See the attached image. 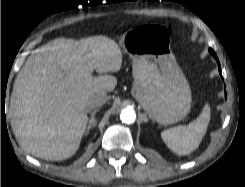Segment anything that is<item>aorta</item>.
Masks as SVG:
<instances>
[{"label":"aorta","instance_id":"aorta-1","mask_svg":"<svg viewBox=\"0 0 245 187\" xmlns=\"http://www.w3.org/2000/svg\"><path fill=\"white\" fill-rule=\"evenodd\" d=\"M120 119L126 124H132L135 122L136 114L132 108H125L121 111Z\"/></svg>","mask_w":245,"mask_h":187}]
</instances>
